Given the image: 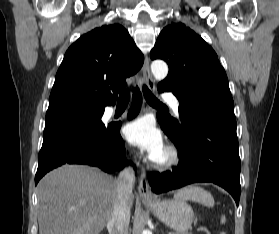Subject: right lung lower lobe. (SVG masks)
Wrapping results in <instances>:
<instances>
[{"label": "right lung lower lobe", "mask_w": 279, "mask_h": 234, "mask_svg": "<svg viewBox=\"0 0 279 234\" xmlns=\"http://www.w3.org/2000/svg\"><path fill=\"white\" fill-rule=\"evenodd\" d=\"M128 118L139 113L141 93L134 90ZM121 123L108 125L67 124L44 130L38 155L35 184L50 170L63 164H85L112 173L125 164V146L120 136Z\"/></svg>", "instance_id": "obj_1"}]
</instances>
